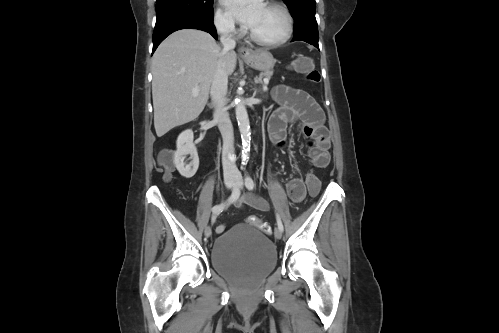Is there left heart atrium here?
I'll return each mask as SVG.
<instances>
[{
	"label": "left heart atrium",
	"mask_w": 499,
	"mask_h": 333,
	"mask_svg": "<svg viewBox=\"0 0 499 333\" xmlns=\"http://www.w3.org/2000/svg\"><path fill=\"white\" fill-rule=\"evenodd\" d=\"M234 19L251 28L265 7L263 0H223Z\"/></svg>",
	"instance_id": "1"
}]
</instances>
